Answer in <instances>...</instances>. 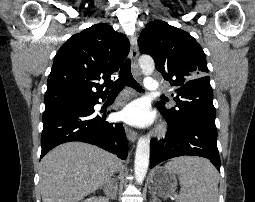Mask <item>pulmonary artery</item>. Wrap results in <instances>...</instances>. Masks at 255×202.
Masks as SVG:
<instances>
[{
    "label": "pulmonary artery",
    "mask_w": 255,
    "mask_h": 202,
    "mask_svg": "<svg viewBox=\"0 0 255 202\" xmlns=\"http://www.w3.org/2000/svg\"><path fill=\"white\" fill-rule=\"evenodd\" d=\"M144 85L148 91H157L159 88V82L152 77H147Z\"/></svg>",
    "instance_id": "pulmonary-artery-1"
}]
</instances>
